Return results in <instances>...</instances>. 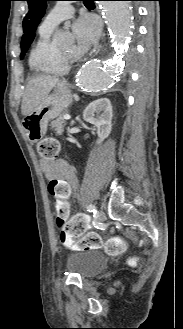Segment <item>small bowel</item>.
Instances as JSON below:
<instances>
[{
    "mask_svg": "<svg viewBox=\"0 0 183 329\" xmlns=\"http://www.w3.org/2000/svg\"><path fill=\"white\" fill-rule=\"evenodd\" d=\"M41 169L47 178L45 189L50 194L52 208L55 218H74L73 208H77V199L75 192L78 190V181L74 171L67 166H63L59 161L42 160ZM67 186V187H66ZM87 224H90L88 221ZM62 244L69 248L75 249L76 243L73 239L61 240Z\"/></svg>",
    "mask_w": 183,
    "mask_h": 329,
    "instance_id": "c3829d8e",
    "label": "small bowel"
}]
</instances>
